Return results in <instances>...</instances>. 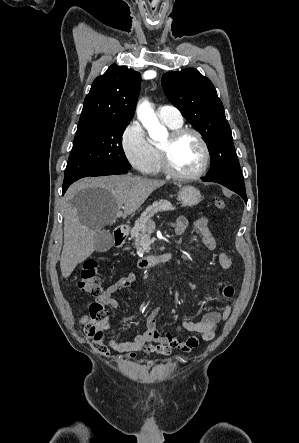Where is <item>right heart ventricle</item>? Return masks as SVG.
<instances>
[{"label": "right heart ventricle", "mask_w": 299, "mask_h": 443, "mask_svg": "<svg viewBox=\"0 0 299 443\" xmlns=\"http://www.w3.org/2000/svg\"><path fill=\"white\" fill-rule=\"evenodd\" d=\"M166 126H168L171 130L180 128L182 126L181 124H175L168 121H163ZM151 145V151H152V165L150 168L149 173L157 174L162 171L161 166V160H160V151L158 144H150Z\"/></svg>", "instance_id": "1"}]
</instances>
